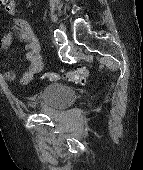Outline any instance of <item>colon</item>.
<instances>
[{"label":"colon","instance_id":"obj_1","mask_svg":"<svg viewBox=\"0 0 143 170\" xmlns=\"http://www.w3.org/2000/svg\"><path fill=\"white\" fill-rule=\"evenodd\" d=\"M5 0H0V4L4 3ZM44 77L50 79V80H67L70 82L75 83H85L87 79L89 78V70L85 66H79L78 68L67 71L64 73H54V72H48L44 75Z\"/></svg>","mask_w":143,"mask_h":170}]
</instances>
